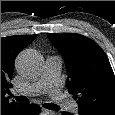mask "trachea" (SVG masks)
<instances>
[{"label": "trachea", "instance_id": "trachea-1", "mask_svg": "<svg viewBox=\"0 0 115 115\" xmlns=\"http://www.w3.org/2000/svg\"><path fill=\"white\" fill-rule=\"evenodd\" d=\"M15 99L20 103H24V104L29 103L28 98L25 96H16ZM43 107L49 110H53V111L60 110V107L57 104H53V103H45L43 104Z\"/></svg>", "mask_w": 115, "mask_h": 115}]
</instances>
